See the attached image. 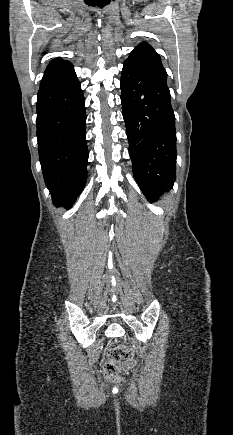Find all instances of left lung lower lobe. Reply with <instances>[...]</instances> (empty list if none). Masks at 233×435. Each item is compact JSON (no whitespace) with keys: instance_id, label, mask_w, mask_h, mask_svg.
I'll return each mask as SVG.
<instances>
[{"instance_id":"1","label":"left lung lower lobe","mask_w":233,"mask_h":435,"mask_svg":"<svg viewBox=\"0 0 233 435\" xmlns=\"http://www.w3.org/2000/svg\"><path fill=\"white\" fill-rule=\"evenodd\" d=\"M123 118L134 178L151 202L175 181L176 130L167 83L124 64L120 79Z\"/></svg>"}]
</instances>
